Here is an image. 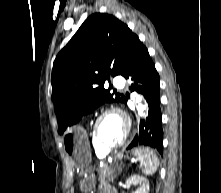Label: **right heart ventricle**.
Wrapping results in <instances>:
<instances>
[{"instance_id":"obj_1","label":"right heart ventricle","mask_w":221,"mask_h":193,"mask_svg":"<svg viewBox=\"0 0 221 193\" xmlns=\"http://www.w3.org/2000/svg\"><path fill=\"white\" fill-rule=\"evenodd\" d=\"M92 146H93V150L94 153L98 156V157H104L107 152L105 150H103L102 148H100L92 139Z\"/></svg>"}]
</instances>
